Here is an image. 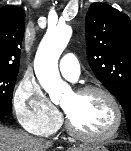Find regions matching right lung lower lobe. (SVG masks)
I'll return each mask as SVG.
<instances>
[{"label": "right lung lower lobe", "mask_w": 131, "mask_h": 151, "mask_svg": "<svg viewBox=\"0 0 131 151\" xmlns=\"http://www.w3.org/2000/svg\"><path fill=\"white\" fill-rule=\"evenodd\" d=\"M5 116H7V115H5V114H0V118H1V117H5Z\"/></svg>", "instance_id": "1"}]
</instances>
